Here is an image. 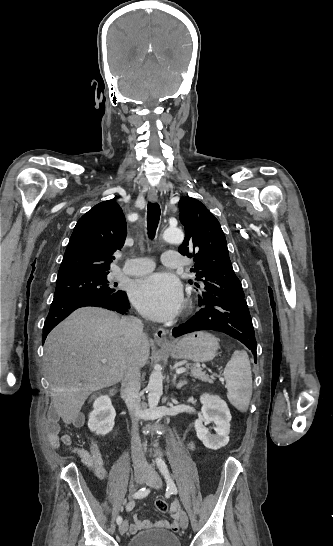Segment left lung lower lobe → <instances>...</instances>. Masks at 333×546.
<instances>
[{
	"label": "left lung lower lobe",
	"mask_w": 333,
	"mask_h": 546,
	"mask_svg": "<svg viewBox=\"0 0 333 546\" xmlns=\"http://www.w3.org/2000/svg\"><path fill=\"white\" fill-rule=\"evenodd\" d=\"M198 305L201 309L190 320L173 329L174 337L201 330L219 331L238 339L256 354L255 332L245 299L201 295Z\"/></svg>",
	"instance_id": "left-lung-lower-lobe-1"
}]
</instances>
